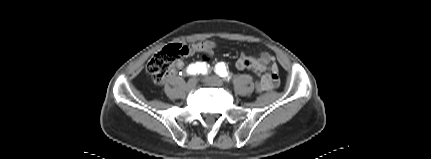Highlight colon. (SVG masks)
Masks as SVG:
<instances>
[{
    "label": "colon",
    "mask_w": 431,
    "mask_h": 159,
    "mask_svg": "<svg viewBox=\"0 0 431 159\" xmlns=\"http://www.w3.org/2000/svg\"><path fill=\"white\" fill-rule=\"evenodd\" d=\"M211 50L207 47H186L181 44H171L155 53L147 63V73L155 83H159L169 73L173 65L180 59L195 54L201 55V63L208 64L211 61ZM255 92H259V81L253 84Z\"/></svg>",
    "instance_id": "obj_1"
}]
</instances>
